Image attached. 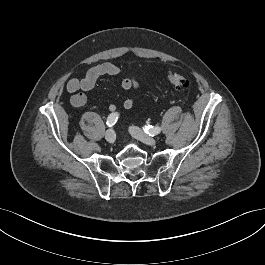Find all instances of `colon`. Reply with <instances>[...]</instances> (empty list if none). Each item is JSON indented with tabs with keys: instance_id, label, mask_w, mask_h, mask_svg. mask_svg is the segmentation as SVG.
<instances>
[{
	"instance_id": "obj_1",
	"label": "colon",
	"mask_w": 265,
	"mask_h": 265,
	"mask_svg": "<svg viewBox=\"0 0 265 265\" xmlns=\"http://www.w3.org/2000/svg\"><path fill=\"white\" fill-rule=\"evenodd\" d=\"M168 80L177 89H186L190 84L185 76L177 73H170L168 75Z\"/></svg>"
}]
</instances>
